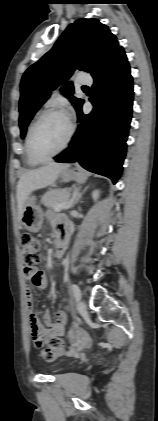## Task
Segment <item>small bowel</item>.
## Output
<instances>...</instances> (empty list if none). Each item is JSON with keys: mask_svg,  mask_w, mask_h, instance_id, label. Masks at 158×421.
I'll use <instances>...</instances> for the list:
<instances>
[{"mask_svg": "<svg viewBox=\"0 0 158 421\" xmlns=\"http://www.w3.org/2000/svg\"><path fill=\"white\" fill-rule=\"evenodd\" d=\"M51 222L55 233L58 236L68 233L69 224L65 217L61 215L53 216L51 217ZM24 275L26 280L29 281L32 286L41 290L46 289L48 284L47 277L41 270L36 267L31 269L24 267ZM26 301L30 310L29 326L35 347H42L44 341L50 337L61 336L64 334L67 321V316L64 311H56L54 314V321H51L50 314L45 312L43 314V321L46 326H44L37 313L33 310V295L30 287L27 289ZM68 337L73 346H76L81 342L82 333L77 324H75L68 332Z\"/></svg>", "mask_w": 158, "mask_h": 421, "instance_id": "small-bowel-1", "label": "small bowel"}]
</instances>
